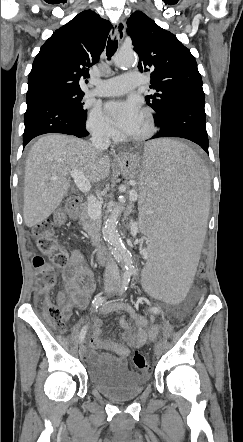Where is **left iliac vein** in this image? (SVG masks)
I'll use <instances>...</instances> for the list:
<instances>
[{"mask_svg": "<svg viewBox=\"0 0 243 442\" xmlns=\"http://www.w3.org/2000/svg\"><path fill=\"white\" fill-rule=\"evenodd\" d=\"M115 293L119 294L120 297H122L123 295L119 293V289L115 288ZM154 352L156 354V356H160L161 352H162V346L160 342H156L155 346H154Z\"/></svg>", "mask_w": 243, "mask_h": 442, "instance_id": "left-iliac-vein-1", "label": "left iliac vein"}]
</instances>
